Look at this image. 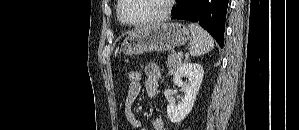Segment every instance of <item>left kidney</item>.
I'll return each mask as SVG.
<instances>
[{
	"instance_id": "1",
	"label": "left kidney",
	"mask_w": 299,
	"mask_h": 130,
	"mask_svg": "<svg viewBox=\"0 0 299 130\" xmlns=\"http://www.w3.org/2000/svg\"><path fill=\"white\" fill-rule=\"evenodd\" d=\"M204 76L203 67L197 63L184 62L175 71L173 82L182 87L185 96L179 104L170 103L167 106V116L173 123H179L191 112ZM188 83L183 82V78Z\"/></svg>"
}]
</instances>
